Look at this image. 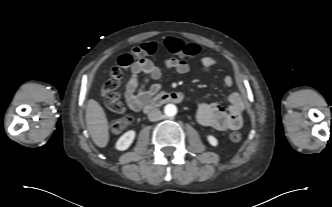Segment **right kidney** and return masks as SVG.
Returning <instances> with one entry per match:
<instances>
[{
    "label": "right kidney",
    "instance_id": "1",
    "mask_svg": "<svg viewBox=\"0 0 332 207\" xmlns=\"http://www.w3.org/2000/svg\"><path fill=\"white\" fill-rule=\"evenodd\" d=\"M135 131L134 130H130L126 133H124L116 142V149L120 150V151H124L126 149H128L130 147V145L132 144L134 138H135Z\"/></svg>",
    "mask_w": 332,
    "mask_h": 207
}]
</instances>
